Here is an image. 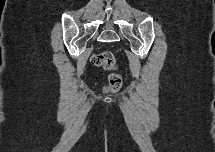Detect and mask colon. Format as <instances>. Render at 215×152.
<instances>
[{"label":"colon","mask_w":215,"mask_h":152,"mask_svg":"<svg viewBox=\"0 0 215 152\" xmlns=\"http://www.w3.org/2000/svg\"><path fill=\"white\" fill-rule=\"evenodd\" d=\"M91 61L94 65L103 68L107 71H114L117 69V63L115 57L110 51H103L93 54ZM123 84V78L120 74L112 72L108 76V83L104 87L105 93H116L118 92Z\"/></svg>","instance_id":"1"}]
</instances>
